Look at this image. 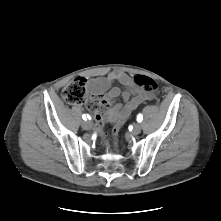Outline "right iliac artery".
I'll use <instances>...</instances> for the list:
<instances>
[{"label":"right iliac artery","mask_w":221,"mask_h":221,"mask_svg":"<svg viewBox=\"0 0 221 221\" xmlns=\"http://www.w3.org/2000/svg\"><path fill=\"white\" fill-rule=\"evenodd\" d=\"M82 118H83V120H87V119H90L91 117L89 115L83 114Z\"/></svg>","instance_id":"obj_1"}]
</instances>
